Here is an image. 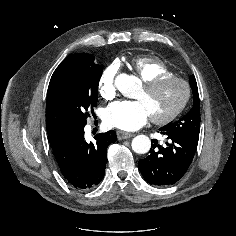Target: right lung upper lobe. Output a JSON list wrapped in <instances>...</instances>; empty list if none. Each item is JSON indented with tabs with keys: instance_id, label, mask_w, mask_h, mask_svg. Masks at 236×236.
I'll return each mask as SVG.
<instances>
[{
	"instance_id": "cb5924a9",
	"label": "right lung upper lobe",
	"mask_w": 236,
	"mask_h": 236,
	"mask_svg": "<svg viewBox=\"0 0 236 236\" xmlns=\"http://www.w3.org/2000/svg\"><path fill=\"white\" fill-rule=\"evenodd\" d=\"M73 55L67 57L54 71L47 92L46 104V128L48 134L58 131L64 136L68 130L65 117L60 111L55 101V95L63 74L71 67V59ZM56 142L50 143L54 145Z\"/></svg>"
}]
</instances>
